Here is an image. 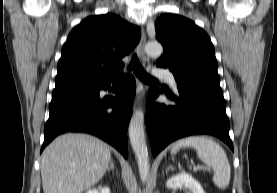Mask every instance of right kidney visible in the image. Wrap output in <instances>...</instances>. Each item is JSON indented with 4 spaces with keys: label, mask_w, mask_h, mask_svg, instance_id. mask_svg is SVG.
<instances>
[{
    "label": "right kidney",
    "mask_w": 277,
    "mask_h": 193,
    "mask_svg": "<svg viewBox=\"0 0 277 193\" xmlns=\"http://www.w3.org/2000/svg\"><path fill=\"white\" fill-rule=\"evenodd\" d=\"M86 193H110V189L108 187H104L100 189V191L97 189H92V190H88Z\"/></svg>",
    "instance_id": "ca27d5eb"
}]
</instances>
